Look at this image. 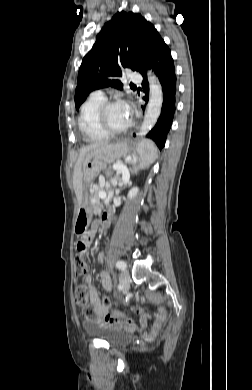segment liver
I'll return each instance as SVG.
<instances>
[{
    "label": "liver",
    "instance_id": "obj_1",
    "mask_svg": "<svg viewBox=\"0 0 252 390\" xmlns=\"http://www.w3.org/2000/svg\"><path fill=\"white\" fill-rule=\"evenodd\" d=\"M109 144L107 142H96L93 144H90L86 147H83L80 150L78 160L76 162L75 168H74V175H73V187L76 193V196L78 200L81 202L82 200V183H83V175H82V163L86 156V154L92 150L106 147Z\"/></svg>",
    "mask_w": 252,
    "mask_h": 390
}]
</instances>
